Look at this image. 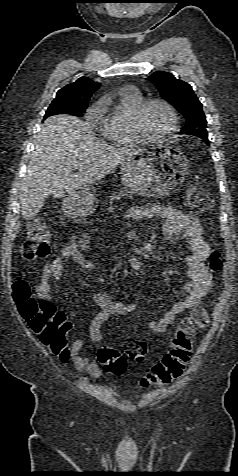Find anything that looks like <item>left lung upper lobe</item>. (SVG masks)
Returning a JSON list of instances; mask_svg holds the SVG:
<instances>
[{"label": "left lung upper lobe", "mask_w": 238, "mask_h": 476, "mask_svg": "<svg viewBox=\"0 0 238 476\" xmlns=\"http://www.w3.org/2000/svg\"><path fill=\"white\" fill-rule=\"evenodd\" d=\"M149 78L161 96L185 117L187 125L180 132L199 136L206 141V138H208L205 129L207 121L202 110V104L193 92L192 87L165 71L154 72Z\"/></svg>", "instance_id": "5c2ea615"}]
</instances>
